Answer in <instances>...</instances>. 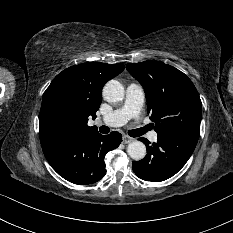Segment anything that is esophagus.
<instances>
[{
	"instance_id": "esophagus-1",
	"label": "esophagus",
	"mask_w": 233,
	"mask_h": 233,
	"mask_svg": "<svg viewBox=\"0 0 233 233\" xmlns=\"http://www.w3.org/2000/svg\"><path fill=\"white\" fill-rule=\"evenodd\" d=\"M134 140H135L134 138L129 137V136H127V135H124V136L122 137V141H123V143H125V144H129V143L133 142Z\"/></svg>"
}]
</instances>
